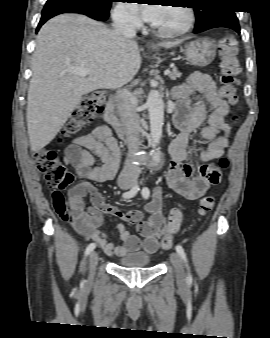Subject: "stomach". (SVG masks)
<instances>
[{
	"label": "stomach",
	"mask_w": 270,
	"mask_h": 338,
	"mask_svg": "<svg viewBox=\"0 0 270 338\" xmlns=\"http://www.w3.org/2000/svg\"><path fill=\"white\" fill-rule=\"evenodd\" d=\"M185 55L191 65L205 67L214 60L216 48L213 41L199 38L186 45Z\"/></svg>",
	"instance_id": "stomach-1"
}]
</instances>
